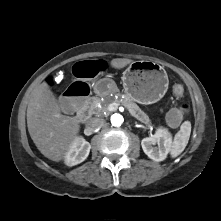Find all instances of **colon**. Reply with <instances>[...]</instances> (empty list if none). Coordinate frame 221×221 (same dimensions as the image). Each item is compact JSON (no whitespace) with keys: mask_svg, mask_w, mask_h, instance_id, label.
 <instances>
[{"mask_svg":"<svg viewBox=\"0 0 221 221\" xmlns=\"http://www.w3.org/2000/svg\"><path fill=\"white\" fill-rule=\"evenodd\" d=\"M104 68L105 64L97 61L78 59L73 62L71 71L76 78L58 100V105L64 113L73 115L78 110L87 107L89 103L88 97L92 95L95 89L94 83L102 77ZM173 93L176 96H182L184 94L183 85L180 83L174 84ZM187 111L188 105H182L180 108L171 110L167 116L169 124L172 126L179 125Z\"/></svg>","mask_w":221,"mask_h":221,"instance_id":"obj_1","label":"colon"}]
</instances>
